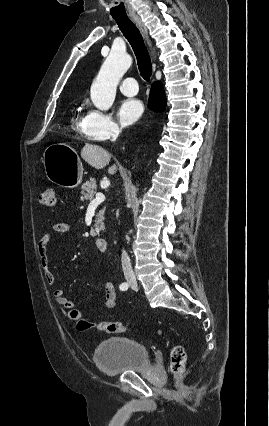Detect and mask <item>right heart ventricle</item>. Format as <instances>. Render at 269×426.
Returning <instances> with one entry per match:
<instances>
[{
  "label": "right heart ventricle",
  "mask_w": 269,
  "mask_h": 426,
  "mask_svg": "<svg viewBox=\"0 0 269 426\" xmlns=\"http://www.w3.org/2000/svg\"><path fill=\"white\" fill-rule=\"evenodd\" d=\"M82 120L83 119H77L76 121H75V125L77 126V127H79V128H81L82 129Z\"/></svg>",
  "instance_id": "1"
}]
</instances>
